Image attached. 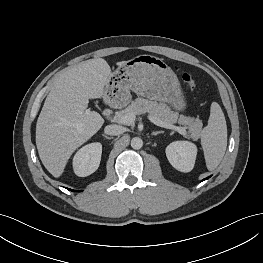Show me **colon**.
I'll return each mask as SVG.
<instances>
[{
    "instance_id": "5ec220e1",
    "label": "colon",
    "mask_w": 263,
    "mask_h": 263,
    "mask_svg": "<svg viewBox=\"0 0 263 263\" xmlns=\"http://www.w3.org/2000/svg\"><path fill=\"white\" fill-rule=\"evenodd\" d=\"M182 80L191 88L195 89L196 82L194 78L189 73H183L182 74Z\"/></svg>"
}]
</instances>
